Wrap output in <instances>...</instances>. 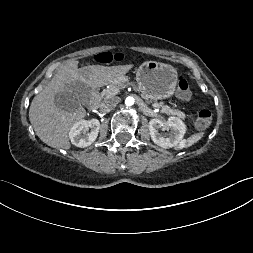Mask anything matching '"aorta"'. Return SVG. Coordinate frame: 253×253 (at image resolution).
I'll use <instances>...</instances> for the list:
<instances>
[{
    "label": "aorta",
    "mask_w": 253,
    "mask_h": 253,
    "mask_svg": "<svg viewBox=\"0 0 253 253\" xmlns=\"http://www.w3.org/2000/svg\"><path fill=\"white\" fill-rule=\"evenodd\" d=\"M135 100L133 97H127L126 100H125V104L126 106H132L134 104Z\"/></svg>",
    "instance_id": "aorta-1"
}]
</instances>
